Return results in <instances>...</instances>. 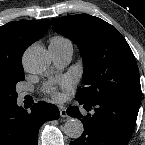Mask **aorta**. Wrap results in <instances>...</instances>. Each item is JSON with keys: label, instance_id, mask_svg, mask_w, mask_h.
Listing matches in <instances>:
<instances>
[{"label": "aorta", "instance_id": "obj_1", "mask_svg": "<svg viewBox=\"0 0 145 145\" xmlns=\"http://www.w3.org/2000/svg\"><path fill=\"white\" fill-rule=\"evenodd\" d=\"M24 67L31 73H42L46 71L51 58L47 50L42 47H30L23 56ZM84 131L83 123L77 118H70L64 125L65 134L73 139H78Z\"/></svg>", "mask_w": 145, "mask_h": 145}]
</instances>
